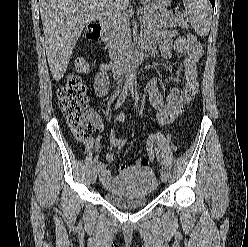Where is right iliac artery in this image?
<instances>
[{
  "mask_svg": "<svg viewBox=\"0 0 248 247\" xmlns=\"http://www.w3.org/2000/svg\"><path fill=\"white\" fill-rule=\"evenodd\" d=\"M128 90H129V88L127 86H124L122 93L119 96V99L117 100V102L115 104V110H117L125 101V98L128 94ZM97 160H98V156L92 160V162H91L92 169H95L96 163H98Z\"/></svg>",
  "mask_w": 248,
  "mask_h": 247,
  "instance_id": "obj_1",
  "label": "right iliac artery"
}]
</instances>
